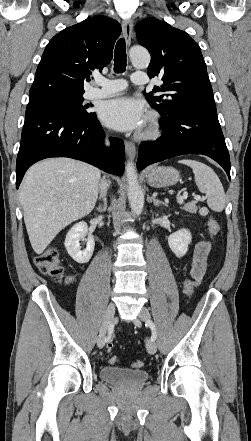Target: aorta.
I'll use <instances>...</instances> for the list:
<instances>
[{
  "mask_svg": "<svg viewBox=\"0 0 251 441\" xmlns=\"http://www.w3.org/2000/svg\"><path fill=\"white\" fill-rule=\"evenodd\" d=\"M130 58L133 65L137 68H146L150 63L149 52L140 47H134L130 50ZM125 173L128 183V199L132 211L139 215L144 207V194L139 185L136 167L132 161H128L125 167Z\"/></svg>",
  "mask_w": 251,
  "mask_h": 441,
  "instance_id": "aorta-1",
  "label": "aorta"
}]
</instances>
